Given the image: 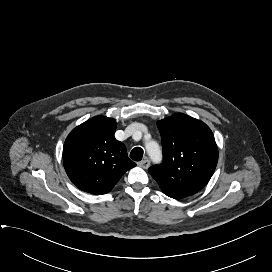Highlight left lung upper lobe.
Listing matches in <instances>:
<instances>
[{"instance_id": "obj_1", "label": "left lung upper lobe", "mask_w": 272, "mask_h": 272, "mask_svg": "<svg viewBox=\"0 0 272 272\" xmlns=\"http://www.w3.org/2000/svg\"><path fill=\"white\" fill-rule=\"evenodd\" d=\"M163 146V162L149 168L167 196L181 199L206 186L218 161L211 129L183 113L157 122Z\"/></svg>"}]
</instances>
